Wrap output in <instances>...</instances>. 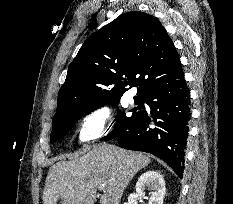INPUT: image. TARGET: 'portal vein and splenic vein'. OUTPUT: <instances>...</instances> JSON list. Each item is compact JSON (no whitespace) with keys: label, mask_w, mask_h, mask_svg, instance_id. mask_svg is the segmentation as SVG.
Returning <instances> with one entry per match:
<instances>
[{"label":"portal vein and splenic vein","mask_w":233,"mask_h":204,"mask_svg":"<svg viewBox=\"0 0 233 204\" xmlns=\"http://www.w3.org/2000/svg\"><path fill=\"white\" fill-rule=\"evenodd\" d=\"M98 189H99V190H103V186H99Z\"/></svg>","instance_id":"1"}]
</instances>
